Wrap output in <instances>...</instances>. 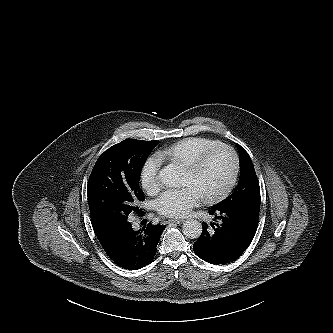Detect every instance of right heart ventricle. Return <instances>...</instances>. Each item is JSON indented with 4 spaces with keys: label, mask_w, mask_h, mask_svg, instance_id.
Masks as SVG:
<instances>
[{
    "label": "right heart ventricle",
    "mask_w": 333,
    "mask_h": 333,
    "mask_svg": "<svg viewBox=\"0 0 333 333\" xmlns=\"http://www.w3.org/2000/svg\"><path fill=\"white\" fill-rule=\"evenodd\" d=\"M218 143L220 141L207 137L184 138L161 150L159 155L162 159L184 167L202 151Z\"/></svg>",
    "instance_id": "1"
}]
</instances>
